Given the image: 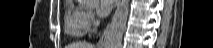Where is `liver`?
<instances>
[{"mask_svg":"<svg viewBox=\"0 0 213 48\" xmlns=\"http://www.w3.org/2000/svg\"><path fill=\"white\" fill-rule=\"evenodd\" d=\"M66 48H93V45L87 42H77V43L69 45Z\"/></svg>","mask_w":213,"mask_h":48,"instance_id":"6515ba94","label":"liver"}]
</instances>
